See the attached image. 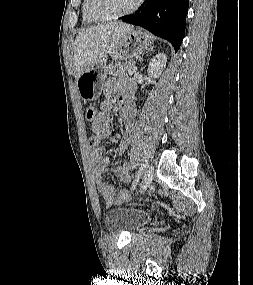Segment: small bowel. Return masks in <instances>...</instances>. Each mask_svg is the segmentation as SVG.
Masks as SVG:
<instances>
[{
	"label": "small bowel",
	"mask_w": 253,
	"mask_h": 285,
	"mask_svg": "<svg viewBox=\"0 0 253 285\" xmlns=\"http://www.w3.org/2000/svg\"><path fill=\"white\" fill-rule=\"evenodd\" d=\"M134 85L128 81L110 78L105 82L104 93L107 96L116 94L119 103V113L124 124V133L119 145V152L124 153L130 146L133 139L135 105L133 102ZM113 109L111 102L103 101L100 110H96L95 118L91 121L93 135L89 138L88 144L92 149L91 158L93 163L94 180L98 192L107 206H113L125 202L127 199L122 195V191L103 180V174L109 171L110 157L104 155V151L99 147L101 141L109 136L110 112ZM131 164L123 163L114 169V174L121 183L131 181Z\"/></svg>",
	"instance_id": "obj_1"
}]
</instances>
